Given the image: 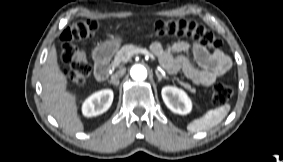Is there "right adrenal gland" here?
<instances>
[{
	"mask_svg": "<svg viewBox=\"0 0 283 162\" xmlns=\"http://www.w3.org/2000/svg\"><path fill=\"white\" fill-rule=\"evenodd\" d=\"M108 83H110V84H113V85H115L116 87H118V85H119V82H113V81H108Z\"/></svg>",
	"mask_w": 283,
	"mask_h": 162,
	"instance_id": "2a0ac1e0",
	"label": "right adrenal gland"
}]
</instances>
